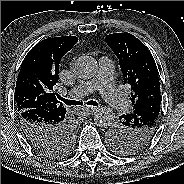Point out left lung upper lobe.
<instances>
[{
    "instance_id": "5c2ea615",
    "label": "left lung upper lobe",
    "mask_w": 184,
    "mask_h": 184,
    "mask_svg": "<svg viewBox=\"0 0 184 184\" xmlns=\"http://www.w3.org/2000/svg\"><path fill=\"white\" fill-rule=\"evenodd\" d=\"M106 42L119 59L124 84L131 87L134 109L133 113L121 115L107 136L115 152L132 154L145 147L156 131L160 109L140 118L135 115L144 103L161 99L158 69L148 48L132 34H110L106 36Z\"/></svg>"
}]
</instances>
